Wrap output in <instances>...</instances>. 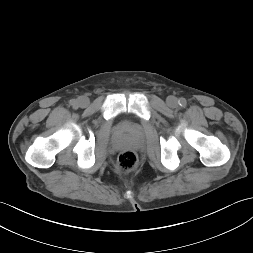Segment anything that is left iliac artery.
Returning a JSON list of instances; mask_svg holds the SVG:
<instances>
[{
	"mask_svg": "<svg viewBox=\"0 0 253 253\" xmlns=\"http://www.w3.org/2000/svg\"><path fill=\"white\" fill-rule=\"evenodd\" d=\"M179 105L182 106V107H185L187 102L184 98H180L179 101H178Z\"/></svg>",
	"mask_w": 253,
	"mask_h": 253,
	"instance_id": "left-iliac-artery-1",
	"label": "left iliac artery"
}]
</instances>
